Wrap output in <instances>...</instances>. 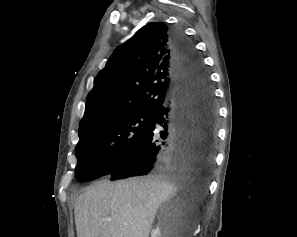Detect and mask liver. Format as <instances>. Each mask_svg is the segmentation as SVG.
<instances>
[{"label": "liver", "mask_w": 297, "mask_h": 237, "mask_svg": "<svg viewBox=\"0 0 297 237\" xmlns=\"http://www.w3.org/2000/svg\"><path fill=\"white\" fill-rule=\"evenodd\" d=\"M192 181L173 174L97 182L76 200L77 237H149L159 206Z\"/></svg>", "instance_id": "liver-1"}]
</instances>
